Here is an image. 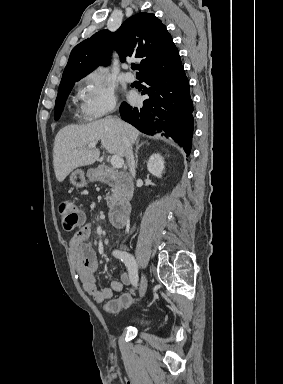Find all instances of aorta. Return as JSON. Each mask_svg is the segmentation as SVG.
Wrapping results in <instances>:
<instances>
[{
    "mask_svg": "<svg viewBox=\"0 0 283 384\" xmlns=\"http://www.w3.org/2000/svg\"><path fill=\"white\" fill-rule=\"evenodd\" d=\"M98 71H99V72H102V71H103V69H102V68H99V69H98Z\"/></svg>",
    "mask_w": 283,
    "mask_h": 384,
    "instance_id": "aorta-1",
    "label": "aorta"
}]
</instances>
